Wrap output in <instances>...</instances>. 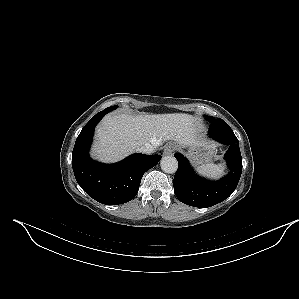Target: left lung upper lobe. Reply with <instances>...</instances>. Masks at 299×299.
<instances>
[{"label": "left lung upper lobe", "instance_id": "1", "mask_svg": "<svg viewBox=\"0 0 299 299\" xmlns=\"http://www.w3.org/2000/svg\"><path fill=\"white\" fill-rule=\"evenodd\" d=\"M206 118L210 121H212V123H215V122H224L222 119H218L217 121H214L213 117L211 116H206Z\"/></svg>", "mask_w": 299, "mask_h": 299}]
</instances>
